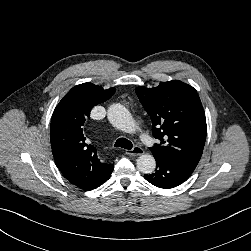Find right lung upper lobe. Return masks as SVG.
I'll use <instances>...</instances> for the list:
<instances>
[{"label": "right lung upper lobe", "mask_w": 251, "mask_h": 251, "mask_svg": "<svg viewBox=\"0 0 251 251\" xmlns=\"http://www.w3.org/2000/svg\"><path fill=\"white\" fill-rule=\"evenodd\" d=\"M115 90L89 82L77 85L53 112L50 137L55 162L66 179L81 189L111 166L100 161L96 148L83 134V125L92 107L111 98Z\"/></svg>", "instance_id": "obj_1"}]
</instances>
